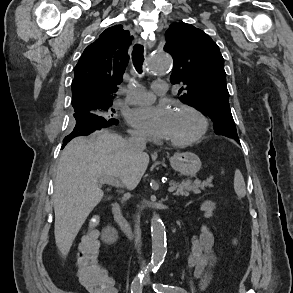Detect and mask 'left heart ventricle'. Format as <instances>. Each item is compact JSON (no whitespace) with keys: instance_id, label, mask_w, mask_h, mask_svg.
Returning a JSON list of instances; mask_svg holds the SVG:
<instances>
[{"instance_id":"obj_1","label":"left heart ventricle","mask_w":293,"mask_h":293,"mask_svg":"<svg viewBox=\"0 0 293 293\" xmlns=\"http://www.w3.org/2000/svg\"><path fill=\"white\" fill-rule=\"evenodd\" d=\"M199 129V122L195 116L187 112H173L168 135L169 141L186 140L193 137Z\"/></svg>"}]
</instances>
